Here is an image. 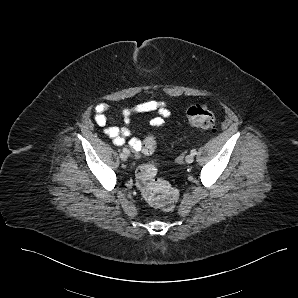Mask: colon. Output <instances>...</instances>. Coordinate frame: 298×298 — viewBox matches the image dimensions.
Listing matches in <instances>:
<instances>
[{
	"label": "colon",
	"instance_id": "colon-1",
	"mask_svg": "<svg viewBox=\"0 0 298 298\" xmlns=\"http://www.w3.org/2000/svg\"><path fill=\"white\" fill-rule=\"evenodd\" d=\"M190 125L201 129H213L216 124L214 113L204 105H194L187 111ZM156 148V138L152 133L144 136L140 152L151 154ZM136 183L145 200L152 206L172 210L178 200V191L167 181L157 178V167L148 162L136 170Z\"/></svg>",
	"mask_w": 298,
	"mask_h": 298
}]
</instances>
